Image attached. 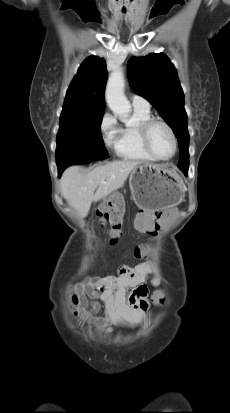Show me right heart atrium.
I'll use <instances>...</instances> for the list:
<instances>
[{
	"instance_id": "right-heart-atrium-1",
	"label": "right heart atrium",
	"mask_w": 230,
	"mask_h": 413,
	"mask_svg": "<svg viewBox=\"0 0 230 413\" xmlns=\"http://www.w3.org/2000/svg\"><path fill=\"white\" fill-rule=\"evenodd\" d=\"M119 127L115 117L106 113L100 122V133L107 147H114L119 135Z\"/></svg>"
}]
</instances>
